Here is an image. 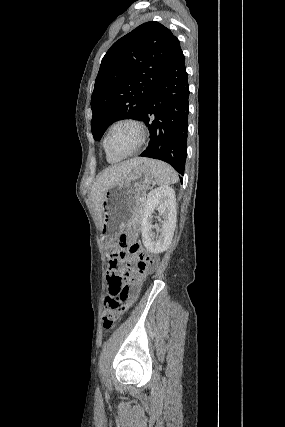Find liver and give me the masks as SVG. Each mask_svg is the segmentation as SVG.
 I'll return each mask as SVG.
<instances>
[{
  "label": "liver",
  "mask_w": 285,
  "mask_h": 427,
  "mask_svg": "<svg viewBox=\"0 0 285 427\" xmlns=\"http://www.w3.org/2000/svg\"><path fill=\"white\" fill-rule=\"evenodd\" d=\"M145 162L143 158H134L105 169L96 179L91 189V198L102 222V202L105 192L124 180L133 168Z\"/></svg>",
  "instance_id": "obj_1"
}]
</instances>
